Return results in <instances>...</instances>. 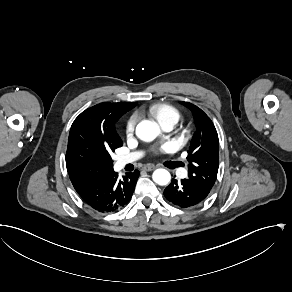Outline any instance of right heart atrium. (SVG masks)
Here are the masks:
<instances>
[{"label": "right heart atrium", "mask_w": 292, "mask_h": 292, "mask_svg": "<svg viewBox=\"0 0 292 292\" xmlns=\"http://www.w3.org/2000/svg\"><path fill=\"white\" fill-rule=\"evenodd\" d=\"M137 121H138V118L135 114L130 115L125 120V123L123 126V133H124L126 140L129 141L133 138Z\"/></svg>", "instance_id": "right-heart-atrium-1"}]
</instances>
